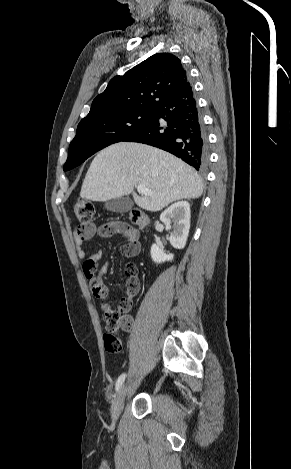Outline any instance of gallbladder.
Returning <instances> with one entry per match:
<instances>
[{
    "label": "gallbladder",
    "mask_w": 291,
    "mask_h": 469,
    "mask_svg": "<svg viewBox=\"0 0 291 469\" xmlns=\"http://www.w3.org/2000/svg\"><path fill=\"white\" fill-rule=\"evenodd\" d=\"M133 206L132 201L127 197L110 199L105 202L108 211L122 213L129 211Z\"/></svg>",
    "instance_id": "1"
}]
</instances>
